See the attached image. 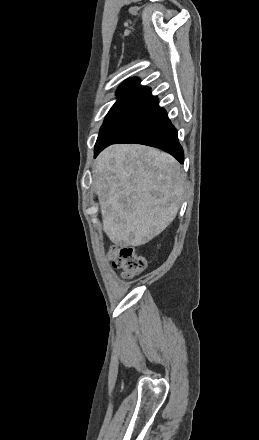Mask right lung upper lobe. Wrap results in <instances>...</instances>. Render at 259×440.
I'll return each mask as SVG.
<instances>
[{
  "mask_svg": "<svg viewBox=\"0 0 259 440\" xmlns=\"http://www.w3.org/2000/svg\"><path fill=\"white\" fill-rule=\"evenodd\" d=\"M138 78H130L126 80L117 90L118 94H147L150 92L149 87H144L139 84Z\"/></svg>",
  "mask_w": 259,
  "mask_h": 440,
  "instance_id": "right-lung-upper-lobe-1",
  "label": "right lung upper lobe"
}]
</instances>
